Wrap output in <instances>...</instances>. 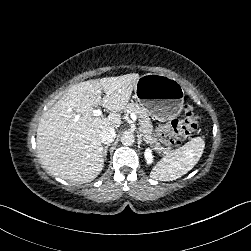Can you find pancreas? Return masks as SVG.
<instances>
[{"instance_id":"obj_1","label":"pancreas","mask_w":251,"mask_h":251,"mask_svg":"<svg viewBox=\"0 0 251 251\" xmlns=\"http://www.w3.org/2000/svg\"><path fill=\"white\" fill-rule=\"evenodd\" d=\"M130 111L134 113L138 119V129L145 137V141L149 144H156L160 151L164 148L158 143L153 130L152 122L146 110L142 108L137 102H127L121 106V112L126 113Z\"/></svg>"}]
</instances>
